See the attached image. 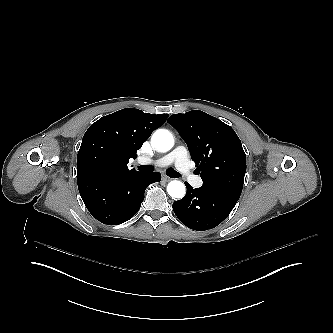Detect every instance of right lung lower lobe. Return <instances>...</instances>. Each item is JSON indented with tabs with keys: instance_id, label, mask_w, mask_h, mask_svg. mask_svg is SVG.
I'll return each instance as SVG.
<instances>
[{
	"instance_id": "right-lung-lower-lobe-1",
	"label": "right lung lower lobe",
	"mask_w": 333,
	"mask_h": 333,
	"mask_svg": "<svg viewBox=\"0 0 333 333\" xmlns=\"http://www.w3.org/2000/svg\"><path fill=\"white\" fill-rule=\"evenodd\" d=\"M160 180L158 172L146 174L136 170L116 175L77 176L79 193L86 208L107 225H118L131 219L140 209L147 186Z\"/></svg>"
}]
</instances>
